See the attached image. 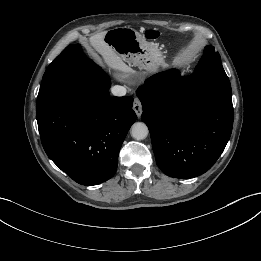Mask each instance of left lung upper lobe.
I'll list each match as a JSON object with an SVG mask.
<instances>
[{"mask_svg": "<svg viewBox=\"0 0 261 261\" xmlns=\"http://www.w3.org/2000/svg\"><path fill=\"white\" fill-rule=\"evenodd\" d=\"M209 62H213L221 65V58L219 53L216 52L214 50V47L210 45L205 48L204 55L202 56L199 63H209Z\"/></svg>", "mask_w": 261, "mask_h": 261, "instance_id": "left-lung-upper-lobe-1", "label": "left lung upper lobe"}]
</instances>
